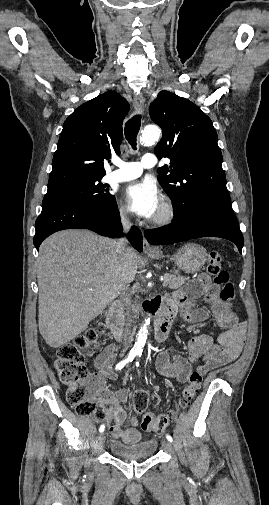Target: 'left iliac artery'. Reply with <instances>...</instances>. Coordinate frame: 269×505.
Instances as JSON below:
<instances>
[{
  "mask_svg": "<svg viewBox=\"0 0 269 505\" xmlns=\"http://www.w3.org/2000/svg\"><path fill=\"white\" fill-rule=\"evenodd\" d=\"M140 356H141V354H139V357H140ZM136 366H137V367H139V362H138V361L136 362ZM166 438H167V440H168L169 442H172V441H173L172 437H171L169 434H166Z\"/></svg>",
  "mask_w": 269,
  "mask_h": 505,
  "instance_id": "1",
  "label": "left iliac artery"
}]
</instances>
